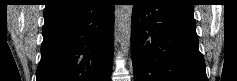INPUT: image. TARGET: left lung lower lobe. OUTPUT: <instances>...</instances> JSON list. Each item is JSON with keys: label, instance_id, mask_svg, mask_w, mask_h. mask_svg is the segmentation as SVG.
<instances>
[{"label": "left lung lower lobe", "instance_id": "left-lung-lower-lobe-1", "mask_svg": "<svg viewBox=\"0 0 237 81\" xmlns=\"http://www.w3.org/2000/svg\"><path fill=\"white\" fill-rule=\"evenodd\" d=\"M194 8L135 0L131 48L135 81H207Z\"/></svg>", "mask_w": 237, "mask_h": 81}]
</instances>
